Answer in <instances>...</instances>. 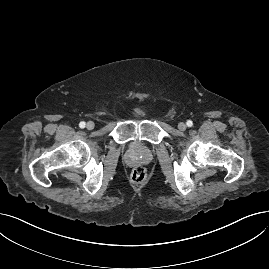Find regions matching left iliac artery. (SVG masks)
<instances>
[{
	"instance_id": "44dca946",
	"label": "left iliac artery",
	"mask_w": 269,
	"mask_h": 269,
	"mask_svg": "<svg viewBox=\"0 0 269 269\" xmlns=\"http://www.w3.org/2000/svg\"><path fill=\"white\" fill-rule=\"evenodd\" d=\"M186 124H187L188 127H192L193 126V122L191 120H188L186 122Z\"/></svg>"
}]
</instances>
